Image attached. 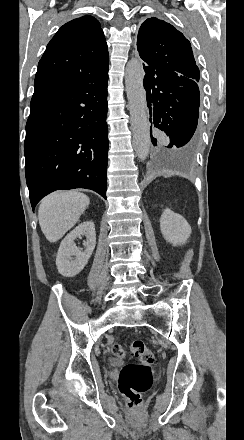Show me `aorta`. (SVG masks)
<instances>
[{"instance_id":"obj_1","label":"aorta","mask_w":244,"mask_h":440,"mask_svg":"<svg viewBox=\"0 0 244 440\" xmlns=\"http://www.w3.org/2000/svg\"><path fill=\"white\" fill-rule=\"evenodd\" d=\"M125 85L134 148L138 158L145 160L150 149V133L147 118L146 94L143 87V69L141 61L137 58L131 59L126 65Z\"/></svg>"}]
</instances>
